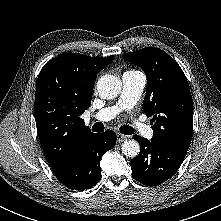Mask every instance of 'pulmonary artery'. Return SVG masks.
Instances as JSON below:
<instances>
[{
  "label": "pulmonary artery",
  "mask_w": 221,
  "mask_h": 221,
  "mask_svg": "<svg viewBox=\"0 0 221 221\" xmlns=\"http://www.w3.org/2000/svg\"><path fill=\"white\" fill-rule=\"evenodd\" d=\"M146 84V77L140 71H126L122 75V91L119 101L113 105L99 110L94 119L109 121L113 119L122 109L132 108L140 98ZM134 128L147 138L152 137V130L142 122H135Z\"/></svg>",
  "instance_id": "pulmonary-artery-1"
}]
</instances>
